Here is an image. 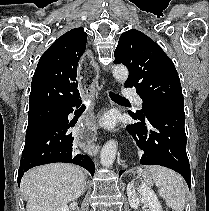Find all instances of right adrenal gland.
Here are the masks:
<instances>
[{
    "instance_id": "1",
    "label": "right adrenal gland",
    "mask_w": 209,
    "mask_h": 211,
    "mask_svg": "<svg viewBox=\"0 0 209 211\" xmlns=\"http://www.w3.org/2000/svg\"><path fill=\"white\" fill-rule=\"evenodd\" d=\"M86 189H87V181L85 180V182H84V189H83L82 193H84Z\"/></svg>"
}]
</instances>
